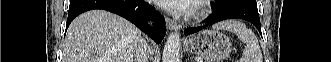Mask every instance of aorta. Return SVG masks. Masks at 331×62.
Segmentation results:
<instances>
[{
  "mask_svg": "<svg viewBox=\"0 0 331 62\" xmlns=\"http://www.w3.org/2000/svg\"><path fill=\"white\" fill-rule=\"evenodd\" d=\"M180 42L181 38L178 32H173L168 36L163 50V62L180 61Z\"/></svg>",
  "mask_w": 331,
  "mask_h": 62,
  "instance_id": "obj_1",
  "label": "aorta"
}]
</instances>
